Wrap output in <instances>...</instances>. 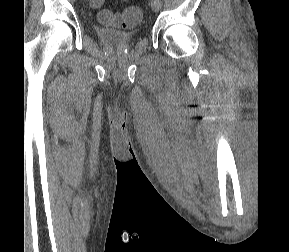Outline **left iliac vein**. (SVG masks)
I'll return each mask as SVG.
<instances>
[{"instance_id": "1", "label": "left iliac vein", "mask_w": 289, "mask_h": 252, "mask_svg": "<svg viewBox=\"0 0 289 252\" xmlns=\"http://www.w3.org/2000/svg\"><path fill=\"white\" fill-rule=\"evenodd\" d=\"M150 5H151V8L154 12H158L161 8V1L160 0H151Z\"/></svg>"}]
</instances>
